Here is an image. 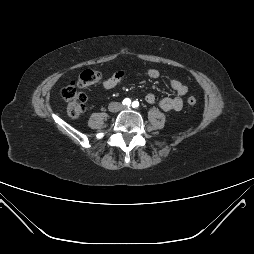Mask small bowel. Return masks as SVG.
<instances>
[{
  "instance_id": "c3829d8e",
  "label": "small bowel",
  "mask_w": 254,
  "mask_h": 254,
  "mask_svg": "<svg viewBox=\"0 0 254 254\" xmlns=\"http://www.w3.org/2000/svg\"><path fill=\"white\" fill-rule=\"evenodd\" d=\"M145 75L150 79H157L160 76V73L156 69H148L145 72ZM126 76L127 73L125 71H116L103 81V87L105 89H112L116 87ZM169 85L171 89L176 92L177 96L164 97L158 101V105L164 111H179L183 107V101L181 97L187 93L188 88L185 84L176 78H171L169 80ZM145 101L149 104H153L156 102V96L153 93H148L145 96Z\"/></svg>"
}]
</instances>
